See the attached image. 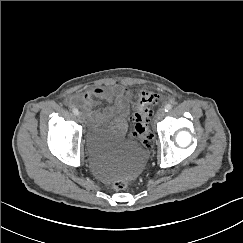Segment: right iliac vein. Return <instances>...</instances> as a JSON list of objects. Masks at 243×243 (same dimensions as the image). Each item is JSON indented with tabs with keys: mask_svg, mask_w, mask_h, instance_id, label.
<instances>
[{
	"mask_svg": "<svg viewBox=\"0 0 243 243\" xmlns=\"http://www.w3.org/2000/svg\"><path fill=\"white\" fill-rule=\"evenodd\" d=\"M78 119L83 122L84 121V115L82 113L78 114Z\"/></svg>",
	"mask_w": 243,
	"mask_h": 243,
	"instance_id": "obj_1",
	"label": "right iliac vein"
}]
</instances>
